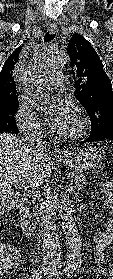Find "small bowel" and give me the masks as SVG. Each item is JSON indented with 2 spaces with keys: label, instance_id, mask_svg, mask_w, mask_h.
<instances>
[{
  "label": "small bowel",
  "instance_id": "obj_1",
  "mask_svg": "<svg viewBox=\"0 0 113 279\" xmlns=\"http://www.w3.org/2000/svg\"><path fill=\"white\" fill-rule=\"evenodd\" d=\"M106 204L113 208L112 192L107 194ZM93 245L95 261L99 265H107L106 267H95L93 269L94 272L104 278L113 279V259L110 256L111 250H113V218L105 224L104 229L101 232L94 236Z\"/></svg>",
  "mask_w": 113,
  "mask_h": 279
}]
</instances>
